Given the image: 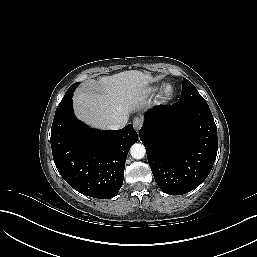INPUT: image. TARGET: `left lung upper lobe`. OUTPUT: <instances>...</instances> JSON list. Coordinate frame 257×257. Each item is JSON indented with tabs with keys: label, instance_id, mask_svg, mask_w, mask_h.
Masks as SVG:
<instances>
[{
	"label": "left lung upper lobe",
	"instance_id": "left-lung-upper-lobe-1",
	"mask_svg": "<svg viewBox=\"0 0 257 257\" xmlns=\"http://www.w3.org/2000/svg\"><path fill=\"white\" fill-rule=\"evenodd\" d=\"M178 105L186 104H202L208 105L205 99L198 93L195 86L186 78L183 79L181 97L178 100Z\"/></svg>",
	"mask_w": 257,
	"mask_h": 257
}]
</instances>
